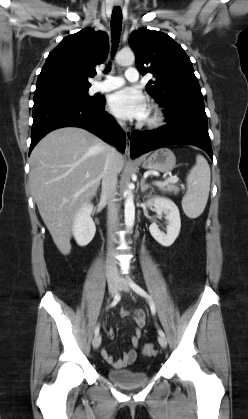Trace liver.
<instances>
[{
  "label": "liver",
  "mask_w": 248,
  "mask_h": 419,
  "mask_svg": "<svg viewBox=\"0 0 248 419\" xmlns=\"http://www.w3.org/2000/svg\"><path fill=\"white\" fill-rule=\"evenodd\" d=\"M108 144L94 134L65 127L47 134L30 156L29 182L39 213L59 251H71V231L78 208L100 185ZM118 172L124 165L117 153Z\"/></svg>",
  "instance_id": "liver-1"
}]
</instances>
